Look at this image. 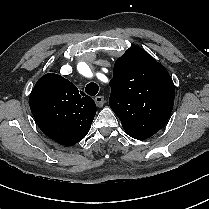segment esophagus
<instances>
[{"label": "esophagus", "mask_w": 209, "mask_h": 209, "mask_svg": "<svg viewBox=\"0 0 209 209\" xmlns=\"http://www.w3.org/2000/svg\"><path fill=\"white\" fill-rule=\"evenodd\" d=\"M95 103L98 107H102L105 103V98L103 96H96L95 97Z\"/></svg>", "instance_id": "esophagus-1"}]
</instances>
